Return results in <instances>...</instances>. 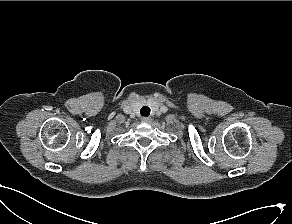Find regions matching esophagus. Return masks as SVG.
<instances>
[{
    "instance_id": "esophagus-1",
    "label": "esophagus",
    "mask_w": 292,
    "mask_h": 224,
    "mask_svg": "<svg viewBox=\"0 0 292 224\" xmlns=\"http://www.w3.org/2000/svg\"><path fill=\"white\" fill-rule=\"evenodd\" d=\"M150 121H151V118H149V117L142 118V122H144V123H149Z\"/></svg>"
}]
</instances>
